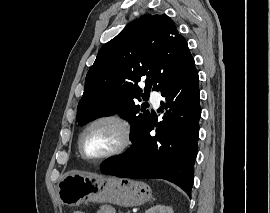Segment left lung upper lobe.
I'll list each match as a JSON object with an SVG mask.
<instances>
[{"mask_svg": "<svg viewBox=\"0 0 270 213\" xmlns=\"http://www.w3.org/2000/svg\"><path fill=\"white\" fill-rule=\"evenodd\" d=\"M192 65L187 42L167 15L141 16L99 50L77 107L79 125L118 113L132 124L131 137L150 119L135 101L152 87L161 91ZM141 78L145 93L138 86Z\"/></svg>", "mask_w": 270, "mask_h": 213, "instance_id": "obj_1", "label": "left lung upper lobe"}]
</instances>
